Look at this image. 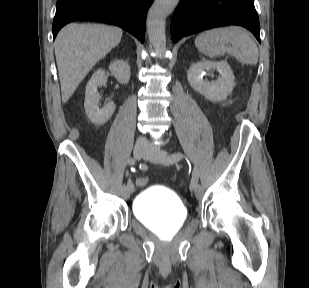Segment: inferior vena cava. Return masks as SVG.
I'll list each match as a JSON object with an SVG mask.
<instances>
[{
	"instance_id": "obj_1",
	"label": "inferior vena cava",
	"mask_w": 309,
	"mask_h": 288,
	"mask_svg": "<svg viewBox=\"0 0 309 288\" xmlns=\"http://www.w3.org/2000/svg\"><path fill=\"white\" fill-rule=\"evenodd\" d=\"M137 142L139 144H147L148 141H147V139L145 137H139Z\"/></svg>"
}]
</instances>
